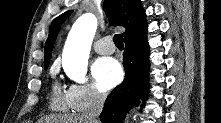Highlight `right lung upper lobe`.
<instances>
[{
	"label": "right lung upper lobe",
	"mask_w": 221,
	"mask_h": 123,
	"mask_svg": "<svg viewBox=\"0 0 221 123\" xmlns=\"http://www.w3.org/2000/svg\"><path fill=\"white\" fill-rule=\"evenodd\" d=\"M104 10L114 26L126 28L122 34L124 41L147 33L146 14L140 0H104ZM71 13L72 11H67L54 19L45 44L44 64L49 63L59 29Z\"/></svg>",
	"instance_id": "obj_1"
}]
</instances>
